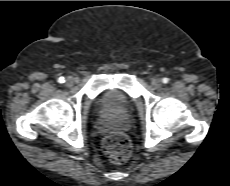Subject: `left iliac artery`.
<instances>
[{
  "label": "left iliac artery",
  "mask_w": 230,
  "mask_h": 186,
  "mask_svg": "<svg viewBox=\"0 0 230 186\" xmlns=\"http://www.w3.org/2000/svg\"><path fill=\"white\" fill-rule=\"evenodd\" d=\"M162 82H163L164 84H166V83L169 82V79H168V78H163V79H162Z\"/></svg>",
  "instance_id": "1"
}]
</instances>
